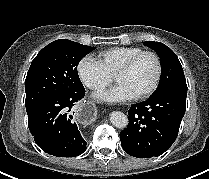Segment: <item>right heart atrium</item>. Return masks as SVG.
<instances>
[{
	"instance_id": "d8ad5b80",
	"label": "right heart atrium",
	"mask_w": 209,
	"mask_h": 179,
	"mask_svg": "<svg viewBox=\"0 0 209 179\" xmlns=\"http://www.w3.org/2000/svg\"><path fill=\"white\" fill-rule=\"evenodd\" d=\"M77 72L81 82L92 91H100L111 82V76L90 56L79 61Z\"/></svg>"
}]
</instances>
